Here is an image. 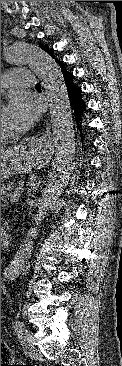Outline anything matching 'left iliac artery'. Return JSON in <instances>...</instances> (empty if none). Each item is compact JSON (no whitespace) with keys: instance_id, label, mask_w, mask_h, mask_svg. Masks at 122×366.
I'll list each match as a JSON object with an SVG mask.
<instances>
[{"instance_id":"1","label":"left iliac artery","mask_w":122,"mask_h":366,"mask_svg":"<svg viewBox=\"0 0 122 366\" xmlns=\"http://www.w3.org/2000/svg\"><path fill=\"white\" fill-rule=\"evenodd\" d=\"M13 327L17 333H20L21 335H23L24 324L21 321H14Z\"/></svg>"}]
</instances>
